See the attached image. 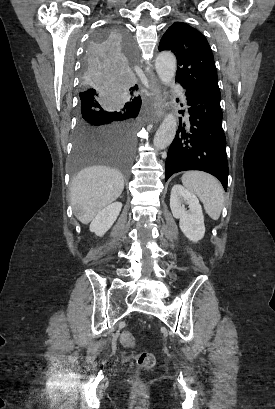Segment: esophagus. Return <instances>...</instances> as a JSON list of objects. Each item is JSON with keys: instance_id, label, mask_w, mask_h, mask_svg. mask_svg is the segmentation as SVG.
Instances as JSON below:
<instances>
[{"instance_id": "esophagus-1", "label": "esophagus", "mask_w": 275, "mask_h": 409, "mask_svg": "<svg viewBox=\"0 0 275 409\" xmlns=\"http://www.w3.org/2000/svg\"><path fill=\"white\" fill-rule=\"evenodd\" d=\"M147 78L149 82L151 96L153 99L154 118L156 120H160L165 113V107L162 98V88L159 85L158 79L157 77H155V75L149 72L147 73Z\"/></svg>"}]
</instances>
